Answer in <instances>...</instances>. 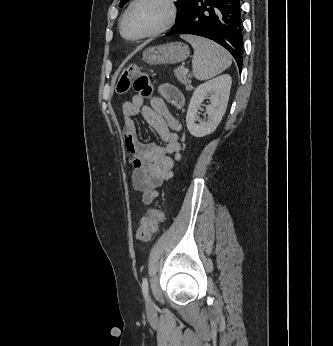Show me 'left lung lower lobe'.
<instances>
[{"label": "left lung lower lobe", "mask_w": 333, "mask_h": 346, "mask_svg": "<svg viewBox=\"0 0 333 346\" xmlns=\"http://www.w3.org/2000/svg\"><path fill=\"white\" fill-rule=\"evenodd\" d=\"M193 34L226 48L242 67L243 35L240 0H193L185 16L167 33Z\"/></svg>", "instance_id": "left-lung-lower-lobe-1"}]
</instances>
